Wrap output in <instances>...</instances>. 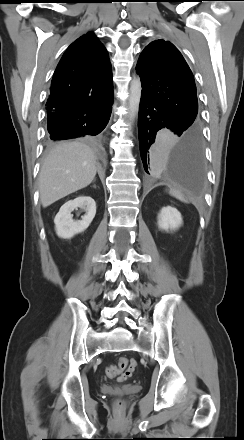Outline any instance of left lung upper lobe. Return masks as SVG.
Segmentation results:
<instances>
[{
    "mask_svg": "<svg viewBox=\"0 0 244 440\" xmlns=\"http://www.w3.org/2000/svg\"><path fill=\"white\" fill-rule=\"evenodd\" d=\"M136 72L141 77L142 95L167 108L180 124L200 131L194 77L172 43L159 39L146 46Z\"/></svg>",
    "mask_w": 244,
    "mask_h": 440,
    "instance_id": "obj_1",
    "label": "left lung upper lobe"
}]
</instances>
